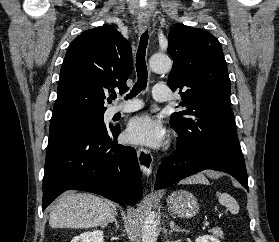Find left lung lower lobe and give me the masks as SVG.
<instances>
[{
	"mask_svg": "<svg viewBox=\"0 0 279 242\" xmlns=\"http://www.w3.org/2000/svg\"><path fill=\"white\" fill-rule=\"evenodd\" d=\"M205 169L225 171L249 190L245 161L241 152L216 146L183 150L178 145L171 156L163 158L157 172L155 190L167 188Z\"/></svg>",
	"mask_w": 279,
	"mask_h": 242,
	"instance_id": "1",
	"label": "left lung lower lobe"
}]
</instances>
